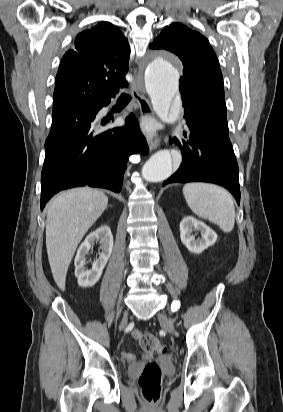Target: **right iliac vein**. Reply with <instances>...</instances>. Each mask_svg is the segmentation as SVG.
Returning <instances> with one entry per match:
<instances>
[{
    "label": "right iliac vein",
    "mask_w": 283,
    "mask_h": 412,
    "mask_svg": "<svg viewBox=\"0 0 283 412\" xmlns=\"http://www.w3.org/2000/svg\"><path fill=\"white\" fill-rule=\"evenodd\" d=\"M127 321H128V315L126 314V315L123 317V320H122V322H121V325H120V328H121V329H123V328L125 327V325L127 324Z\"/></svg>",
    "instance_id": "1"
}]
</instances>
